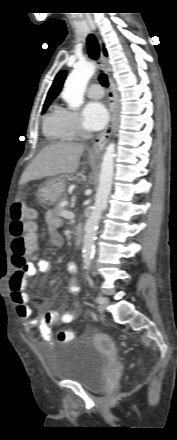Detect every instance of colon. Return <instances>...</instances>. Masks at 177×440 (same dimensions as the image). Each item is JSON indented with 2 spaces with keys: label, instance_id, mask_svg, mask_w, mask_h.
Masks as SVG:
<instances>
[{
  "label": "colon",
  "instance_id": "1",
  "mask_svg": "<svg viewBox=\"0 0 177 440\" xmlns=\"http://www.w3.org/2000/svg\"><path fill=\"white\" fill-rule=\"evenodd\" d=\"M34 219V211L26 206L23 199H18L11 206V249L13 263L18 268L25 267L29 257L35 253L38 239ZM57 338L60 342H68L73 339V333L70 330H61Z\"/></svg>",
  "mask_w": 177,
  "mask_h": 440
}]
</instances>
